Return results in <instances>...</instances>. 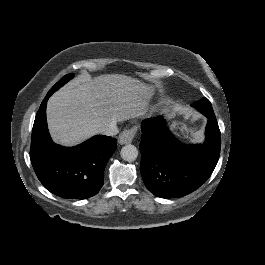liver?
Returning a JSON list of instances; mask_svg holds the SVG:
<instances>
[{"label":"liver","instance_id":"1","mask_svg":"<svg viewBox=\"0 0 265 265\" xmlns=\"http://www.w3.org/2000/svg\"><path fill=\"white\" fill-rule=\"evenodd\" d=\"M155 89L153 84L124 74L78 75L48 99L49 136L65 148L79 145L102 134L110 122L142 116Z\"/></svg>","mask_w":265,"mask_h":265}]
</instances>
